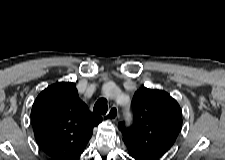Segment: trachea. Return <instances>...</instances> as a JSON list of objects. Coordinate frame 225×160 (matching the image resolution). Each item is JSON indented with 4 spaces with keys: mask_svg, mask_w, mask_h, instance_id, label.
<instances>
[{
    "mask_svg": "<svg viewBox=\"0 0 225 160\" xmlns=\"http://www.w3.org/2000/svg\"><path fill=\"white\" fill-rule=\"evenodd\" d=\"M108 106L107 100L105 98H100L94 105L93 112L96 114L104 115L107 113Z\"/></svg>",
    "mask_w": 225,
    "mask_h": 160,
    "instance_id": "obj_1",
    "label": "trachea"
}]
</instances>
